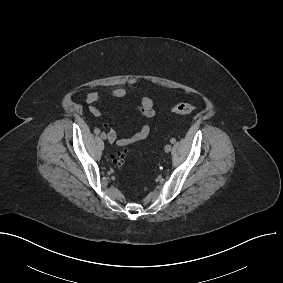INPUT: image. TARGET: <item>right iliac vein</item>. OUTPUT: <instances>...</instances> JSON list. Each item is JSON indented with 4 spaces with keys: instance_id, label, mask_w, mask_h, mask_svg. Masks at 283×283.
<instances>
[{
    "instance_id": "right-iliac-vein-1",
    "label": "right iliac vein",
    "mask_w": 283,
    "mask_h": 283,
    "mask_svg": "<svg viewBox=\"0 0 283 283\" xmlns=\"http://www.w3.org/2000/svg\"><path fill=\"white\" fill-rule=\"evenodd\" d=\"M101 138L104 139V140L107 138V136L104 132L101 133Z\"/></svg>"
}]
</instances>
